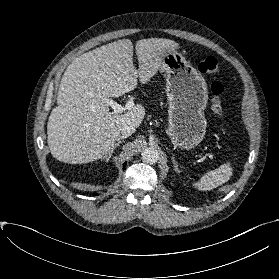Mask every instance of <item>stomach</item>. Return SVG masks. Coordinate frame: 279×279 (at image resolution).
<instances>
[{
    "label": "stomach",
    "mask_w": 279,
    "mask_h": 279,
    "mask_svg": "<svg viewBox=\"0 0 279 279\" xmlns=\"http://www.w3.org/2000/svg\"><path fill=\"white\" fill-rule=\"evenodd\" d=\"M160 71L166 74L168 134L174 145L194 148L203 140L207 127V83L177 50L164 54Z\"/></svg>",
    "instance_id": "1"
}]
</instances>
